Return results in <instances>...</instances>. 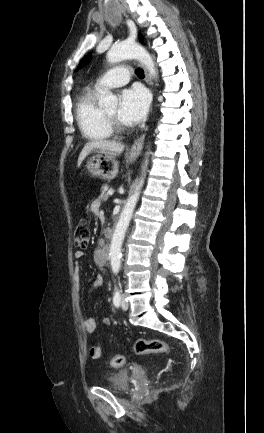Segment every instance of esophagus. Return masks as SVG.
Returning a JSON list of instances; mask_svg holds the SVG:
<instances>
[{
	"label": "esophagus",
	"instance_id": "1",
	"mask_svg": "<svg viewBox=\"0 0 264 433\" xmlns=\"http://www.w3.org/2000/svg\"><path fill=\"white\" fill-rule=\"evenodd\" d=\"M145 72V80L147 82V84L149 86H151L152 81H151V77L148 74L147 70H144ZM144 140H145V134H142L131 146L130 152H129V157L131 159H135L136 157L139 156L142 148H143V144H144Z\"/></svg>",
	"mask_w": 264,
	"mask_h": 433
}]
</instances>
